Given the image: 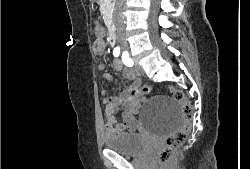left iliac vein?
Instances as JSON below:
<instances>
[{"label": "left iliac vein", "instance_id": "4c4485c4", "mask_svg": "<svg viewBox=\"0 0 250 169\" xmlns=\"http://www.w3.org/2000/svg\"><path fill=\"white\" fill-rule=\"evenodd\" d=\"M131 72L135 73L138 76H141L144 73L142 67L139 65L137 61L134 62V66L133 68H131Z\"/></svg>", "mask_w": 250, "mask_h": 169}]
</instances>
